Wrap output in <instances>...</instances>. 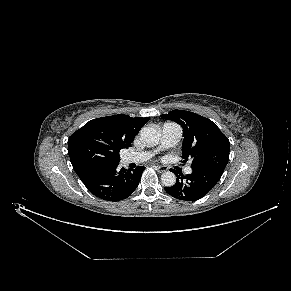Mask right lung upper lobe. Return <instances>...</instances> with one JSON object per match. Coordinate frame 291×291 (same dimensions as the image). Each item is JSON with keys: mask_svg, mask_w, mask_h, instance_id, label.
Here are the masks:
<instances>
[{"mask_svg": "<svg viewBox=\"0 0 291 291\" xmlns=\"http://www.w3.org/2000/svg\"><path fill=\"white\" fill-rule=\"evenodd\" d=\"M148 117L119 114L93 119L68 139V154L75 171L96 162L118 164L119 152L133 142Z\"/></svg>", "mask_w": 291, "mask_h": 291, "instance_id": "right-lung-upper-lobe-1", "label": "right lung upper lobe"}]
</instances>
